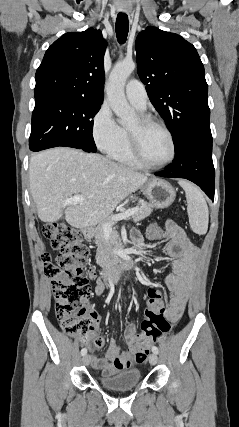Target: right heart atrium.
Instances as JSON below:
<instances>
[{
    "instance_id": "right-heart-atrium-1",
    "label": "right heart atrium",
    "mask_w": 239,
    "mask_h": 427,
    "mask_svg": "<svg viewBox=\"0 0 239 427\" xmlns=\"http://www.w3.org/2000/svg\"><path fill=\"white\" fill-rule=\"evenodd\" d=\"M92 136L98 149L105 154L114 151L123 140V128L107 105L101 106L93 118Z\"/></svg>"
}]
</instances>
